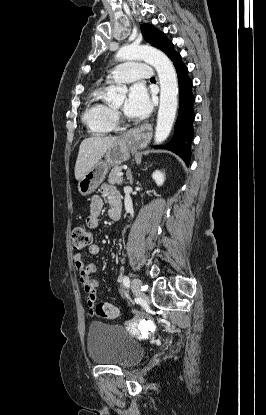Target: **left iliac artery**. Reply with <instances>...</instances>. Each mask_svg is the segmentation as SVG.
Instances as JSON below:
<instances>
[{"label":"left iliac artery","mask_w":266,"mask_h":415,"mask_svg":"<svg viewBox=\"0 0 266 415\" xmlns=\"http://www.w3.org/2000/svg\"><path fill=\"white\" fill-rule=\"evenodd\" d=\"M123 284L125 287H129L130 286V280L127 276H123Z\"/></svg>","instance_id":"44dca946"}]
</instances>
